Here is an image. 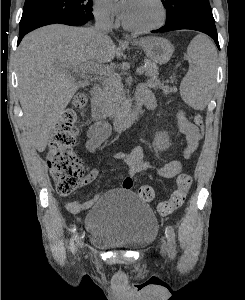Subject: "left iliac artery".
I'll list each match as a JSON object with an SVG mask.
<instances>
[{"mask_svg": "<svg viewBox=\"0 0 245 300\" xmlns=\"http://www.w3.org/2000/svg\"><path fill=\"white\" fill-rule=\"evenodd\" d=\"M166 237L168 240V251H169V256L171 258H174L176 254V240H175V232L172 226H167L166 227Z\"/></svg>", "mask_w": 245, "mask_h": 300, "instance_id": "44dca946", "label": "left iliac artery"}]
</instances>
